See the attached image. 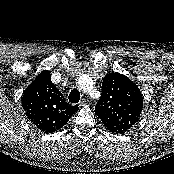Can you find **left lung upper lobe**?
Instances as JSON below:
<instances>
[{"mask_svg":"<svg viewBox=\"0 0 174 174\" xmlns=\"http://www.w3.org/2000/svg\"><path fill=\"white\" fill-rule=\"evenodd\" d=\"M142 107L140 89L128 77L119 73L104 77L95 113L110 132L122 134L128 131L139 120Z\"/></svg>","mask_w":174,"mask_h":174,"instance_id":"obj_1","label":"left lung upper lobe"}]
</instances>
